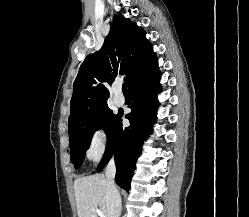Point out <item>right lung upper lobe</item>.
Returning a JSON list of instances; mask_svg holds the SVG:
<instances>
[{
    "instance_id": "1",
    "label": "right lung upper lobe",
    "mask_w": 249,
    "mask_h": 217,
    "mask_svg": "<svg viewBox=\"0 0 249 217\" xmlns=\"http://www.w3.org/2000/svg\"><path fill=\"white\" fill-rule=\"evenodd\" d=\"M155 56L144 30L122 15H115L102 48L86 57L73 84L70 103L72 119L107 103L115 77L125 74L128 87Z\"/></svg>"
}]
</instances>
